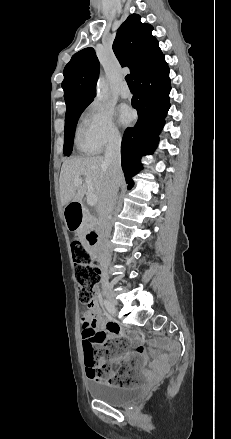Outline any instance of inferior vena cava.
Wrapping results in <instances>:
<instances>
[{
    "mask_svg": "<svg viewBox=\"0 0 231 439\" xmlns=\"http://www.w3.org/2000/svg\"><path fill=\"white\" fill-rule=\"evenodd\" d=\"M120 149L121 138L115 136L109 141L105 151V162L110 171V184L101 205L102 226L105 230L104 241L98 246L99 260L101 262H108L110 259V253L106 243L111 231V213L117 200L120 180L123 178ZM103 276L106 278L105 275Z\"/></svg>",
    "mask_w": 231,
    "mask_h": 439,
    "instance_id": "inferior-vena-cava-1",
    "label": "inferior vena cava"
}]
</instances>
